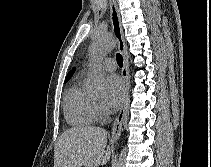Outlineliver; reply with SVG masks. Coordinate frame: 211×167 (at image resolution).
Masks as SVG:
<instances>
[{
	"instance_id": "obj_1",
	"label": "liver",
	"mask_w": 211,
	"mask_h": 167,
	"mask_svg": "<svg viewBox=\"0 0 211 167\" xmlns=\"http://www.w3.org/2000/svg\"><path fill=\"white\" fill-rule=\"evenodd\" d=\"M106 130L94 127H74L66 130L54 148V167H97L110 160Z\"/></svg>"
}]
</instances>
